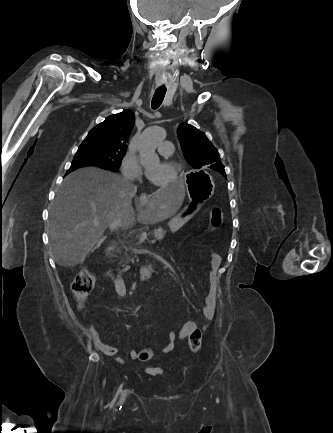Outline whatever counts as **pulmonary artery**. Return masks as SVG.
Here are the masks:
<instances>
[{
  "instance_id": "e3ab8cb5",
  "label": "pulmonary artery",
  "mask_w": 333,
  "mask_h": 433,
  "mask_svg": "<svg viewBox=\"0 0 333 433\" xmlns=\"http://www.w3.org/2000/svg\"><path fill=\"white\" fill-rule=\"evenodd\" d=\"M158 151L163 156H170L173 153V144L169 141H163L158 145Z\"/></svg>"
}]
</instances>
